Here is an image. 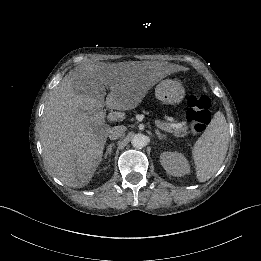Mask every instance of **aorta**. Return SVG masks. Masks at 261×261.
<instances>
[{
  "instance_id": "aorta-1",
  "label": "aorta",
  "mask_w": 261,
  "mask_h": 261,
  "mask_svg": "<svg viewBox=\"0 0 261 261\" xmlns=\"http://www.w3.org/2000/svg\"><path fill=\"white\" fill-rule=\"evenodd\" d=\"M148 143V137L144 134L138 133L135 134L131 140V144L135 148H143Z\"/></svg>"
}]
</instances>
